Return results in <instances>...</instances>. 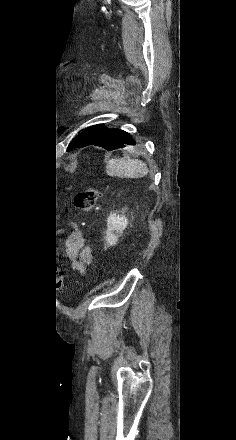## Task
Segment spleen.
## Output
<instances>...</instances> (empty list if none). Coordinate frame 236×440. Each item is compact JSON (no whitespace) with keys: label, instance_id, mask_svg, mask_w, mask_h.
<instances>
[{"label":"spleen","instance_id":"spleen-1","mask_svg":"<svg viewBox=\"0 0 236 440\" xmlns=\"http://www.w3.org/2000/svg\"><path fill=\"white\" fill-rule=\"evenodd\" d=\"M108 175L128 178H140L148 174L149 170L141 160L130 158L112 159L106 166Z\"/></svg>","mask_w":236,"mask_h":440}]
</instances>
